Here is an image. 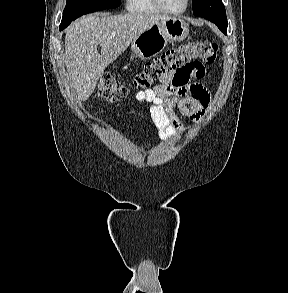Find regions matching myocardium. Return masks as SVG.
I'll list each match as a JSON object with an SVG mask.
<instances>
[{
	"label": "myocardium",
	"instance_id": "1",
	"mask_svg": "<svg viewBox=\"0 0 288 293\" xmlns=\"http://www.w3.org/2000/svg\"><path fill=\"white\" fill-rule=\"evenodd\" d=\"M154 3L164 13H167V14H170V15H180V14H183L187 10L188 5H189V0H185L184 6L180 10H176V11L168 9L164 5L162 0H154Z\"/></svg>",
	"mask_w": 288,
	"mask_h": 293
}]
</instances>
